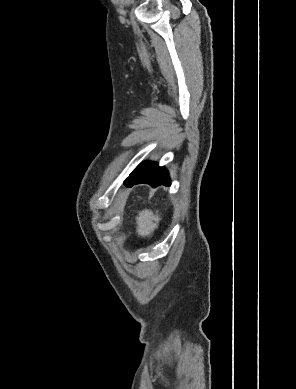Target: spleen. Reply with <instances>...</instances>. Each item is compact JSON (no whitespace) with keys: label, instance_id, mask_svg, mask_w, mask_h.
I'll list each match as a JSON object with an SVG mask.
<instances>
[{"label":"spleen","instance_id":"obj_1","mask_svg":"<svg viewBox=\"0 0 296 389\" xmlns=\"http://www.w3.org/2000/svg\"><path fill=\"white\" fill-rule=\"evenodd\" d=\"M137 228L136 231L139 236L145 237L150 236L153 231L158 227L160 217L158 211L156 214H153L151 210H143L139 213V216L136 218Z\"/></svg>","mask_w":296,"mask_h":389}]
</instances>
